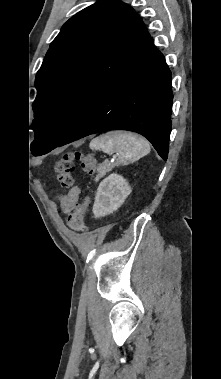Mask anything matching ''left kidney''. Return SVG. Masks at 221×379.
Masks as SVG:
<instances>
[{"mask_svg":"<svg viewBox=\"0 0 221 379\" xmlns=\"http://www.w3.org/2000/svg\"><path fill=\"white\" fill-rule=\"evenodd\" d=\"M131 193L128 182L118 174H111L98 186L93 214L95 218L109 215L116 211L124 203Z\"/></svg>","mask_w":221,"mask_h":379,"instance_id":"1","label":"left kidney"}]
</instances>
